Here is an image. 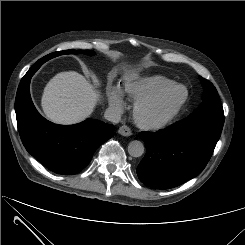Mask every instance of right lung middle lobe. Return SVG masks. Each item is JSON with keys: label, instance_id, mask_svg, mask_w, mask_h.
Returning <instances> with one entry per match:
<instances>
[{"label": "right lung middle lobe", "instance_id": "1", "mask_svg": "<svg viewBox=\"0 0 245 245\" xmlns=\"http://www.w3.org/2000/svg\"><path fill=\"white\" fill-rule=\"evenodd\" d=\"M86 53V54H90L92 55L94 52L93 51H89V50H85V51H80V50H65V51H59V52H54V53H51L43 58H41L40 60L37 61L38 64H43L45 61L49 60L50 58H53L55 56H58V55H62V54H78V53ZM40 65V66H41Z\"/></svg>", "mask_w": 245, "mask_h": 245}]
</instances>
